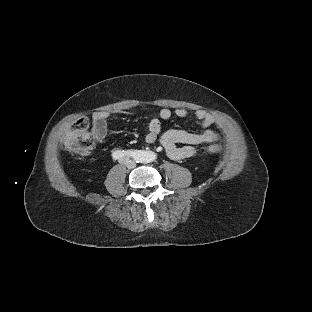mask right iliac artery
Segmentation results:
<instances>
[{"label": "right iliac artery", "instance_id": "1", "mask_svg": "<svg viewBox=\"0 0 312 312\" xmlns=\"http://www.w3.org/2000/svg\"><path fill=\"white\" fill-rule=\"evenodd\" d=\"M129 155V152L128 151H121V150H115L113 153H112V157L114 159H121L125 156Z\"/></svg>", "mask_w": 312, "mask_h": 312}]
</instances>
